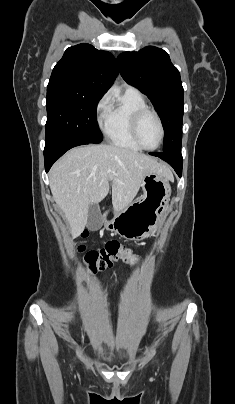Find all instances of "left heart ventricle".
<instances>
[{
	"label": "left heart ventricle",
	"instance_id": "1",
	"mask_svg": "<svg viewBox=\"0 0 235 404\" xmlns=\"http://www.w3.org/2000/svg\"><path fill=\"white\" fill-rule=\"evenodd\" d=\"M139 139L146 147H154L160 138V129L157 119L152 114H146L139 125Z\"/></svg>",
	"mask_w": 235,
	"mask_h": 404
}]
</instances>
